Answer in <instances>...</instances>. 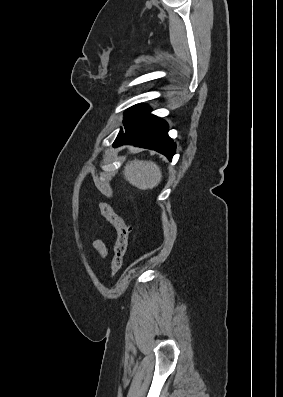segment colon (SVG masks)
I'll list each match as a JSON object with an SVG mask.
<instances>
[{
  "instance_id": "obj_1",
  "label": "colon",
  "mask_w": 283,
  "mask_h": 397,
  "mask_svg": "<svg viewBox=\"0 0 283 397\" xmlns=\"http://www.w3.org/2000/svg\"><path fill=\"white\" fill-rule=\"evenodd\" d=\"M100 211L104 218L112 225L116 231V241L114 245V255L111 262L110 274L114 276L119 272L123 265V259L127 250L129 228L124 220L107 203H100Z\"/></svg>"
}]
</instances>
